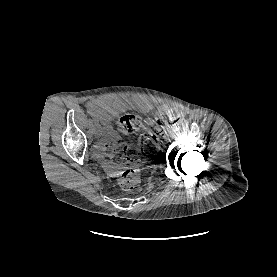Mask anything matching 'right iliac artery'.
<instances>
[{"label":"right iliac artery","instance_id":"obj_1","mask_svg":"<svg viewBox=\"0 0 277 277\" xmlns=\"http://www.w3.org/2000/svg\"><path fill=\"white\" fill-rule=\"evenodd\" d=\"M93 128H94L95 132H99L100 131L99 126H98L97 123L94 124Z\"/></svg>","mask_w":277,"mask_h":277}]
</instances>
